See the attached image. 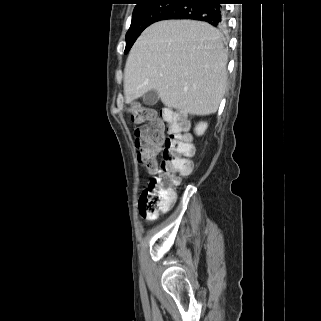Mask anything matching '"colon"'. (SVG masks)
Returning a JSON list of instances; mask_svg holds the SVG:
<instances>
[{
    "label": "colon",
    "mask_w": 321,
    "mask_h": 321,
    "mask_svg": "<svg viewBox=\"0 0 321 321\" xmlns=\"http://www.w3.org/2000/svg\"><path fill=\"white\" fill-rule=\"evenodd\" d=\"M129 113L134 122L142 124L135 130V144L139 161L151 175L141 194L139 209L142 216L154 217L172 205L173 187L179 183V176L192 172L190 157L194 147L185 133L187 124L180 112L166 111L163 119H159L152 109L134 104ZM165 127L167 137H164ZM162 145V157L158 159Z\"/></svg>",
    "instance_id": "1"
}]
</instances>
